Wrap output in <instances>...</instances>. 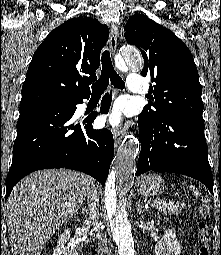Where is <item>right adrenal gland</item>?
<instances>
[{
    "instance_id": "2a0ac1e0",
    "label": "right adrenal gland",
    "mask_w": 221,
    "mask_h": 255,
    "mask_svg": "<svg viewBox=\"0 0 221 255\" xmlns=\"http://www.w3.org/2000/svg\"><path fill=\"white\" fill-rule=\"evenodd\" d=\"M82 213H83V215H84L85 217L88 215V210H87L86 207H83V208H82Z\"/></svg>"
}]
</instances>
